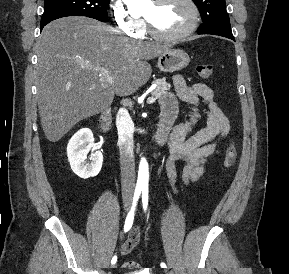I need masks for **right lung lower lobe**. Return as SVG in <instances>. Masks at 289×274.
<instances>
[{
	"label": "right lung lower lobe",
	"mask_w": 289,
	"mask_h": 274,
	"mask_svg": "<svg viewBox=\"0 0 289 274\" xmlns=\"http://www.w3.org/2000/svg\"><path fill=\"white\" fill-rule=\"evenodd\" d=\"M49 22H45V23H41V30L43 29V27L48 24Z\"/></svg>",
	"instance_id": "98d812e1"
}]
</instances>
